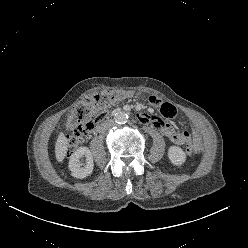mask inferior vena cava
I'll list each match as a JSON object with an SVG mask.
<instances>
[{
    "instance_id": "obj_1",
    "label": "inferior vena cava",
    "mask_w": 248,
    "mask_h": 248,
    "mask_svg": "<svg viewBox=\"0 0 248 248\" xmlns=\"http://www.w3.org/2000/svg\"><path fill=\"white\" fill-rule=\"evenodd\" d=\"M113 124H114L113 120H107V121H104L103 123H101L99 128L101 131H105V130L111 128L113 126Z\"/></svg>"
}]
</instances>
